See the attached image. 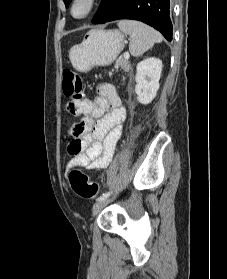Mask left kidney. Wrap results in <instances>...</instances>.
<instances>
[{
	"label": "left kidney",
	"instance_id": "obj_1",
	"mask_svg": "<svg viewBox=\"0 0 227 279\" xmlns=\"http://www.w3.org/2000/svg\"><path fill=\"white\" fill-rule=\"evenodd\" d=\"M162 71V61L150 57L137 64L135 76V93L141 104H149L155 98L159 89V80Z\"/></svg>",
	"mask_w": 227,
	"mask_h": 279
}]
</instances>
